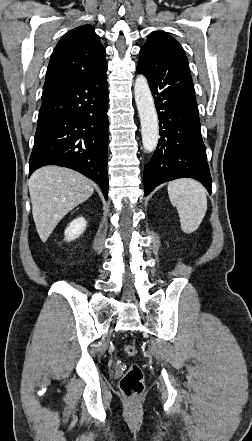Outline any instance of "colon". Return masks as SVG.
Returning a JSON list of instances; mask_svg holds the SVG:
<instances>
[{"instance_id": "obj_1", "label": "colon", "mask_w": 252, "mask_h": 441, "mask_svg": "<svg viewBox=\"0 0 252 441\" xmlns=\"http://www.w3.org/2000/svg\"><path fill=\"white\" fill-rule=\"evenodd\" d=\"M123 352L127 357H133L136 354L134 345L126 344ZM120 389L127 400L139 398L144 391L143 373L137 364H131L120 381Z\"/></svg>"}]
</instances>
